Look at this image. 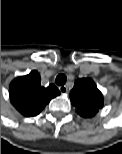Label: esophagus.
I'll return each instance as SVG.
<instances>
[{
  "instance_id": "1",
  "label": "esophagus",
  "mask_w": 122,
  "mask_h": 154,
  "mask_svg": "<svg viewBox=\"0 0 122 154\" xmlns=\"http://www.w3.org/2000/svg\"><path fill=\"white\" fill-rule=\"evenodd\" d=\"M59 90L62 94H66L68 92V88L64 85V86H60Z\"/></svg>"
}]
</instances>
